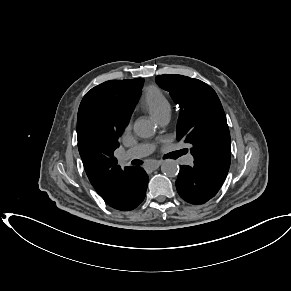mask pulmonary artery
<instances>
[{"instance_id":"obj_1","label":"pulmonary artery","mask_w":291,"mask_h":291,"mask_svg":"<svg viewBox=\"0 0 291 291\" xmlns=\"http://www.w3.org/2000/svg\"><path fill=\"white\" fill-rule=\"evenodd\" d=\"M170 118V114L166 113L163 114L159 117L156 118V121L161 124V125H165L168 123ZM154 147L150 144H140L137 145L135 147H132L131 149L127 150L126 152L123 153L121 160L123 162H127L133 159H140L142 157H145L147 155H149L152 151H153ZM194 161V157L192 154H188L185 157V164L187 165H192Z\"/></svg>"}]
</instances>
